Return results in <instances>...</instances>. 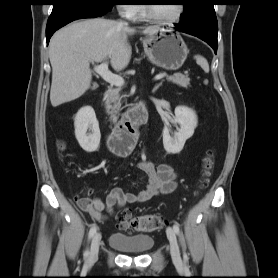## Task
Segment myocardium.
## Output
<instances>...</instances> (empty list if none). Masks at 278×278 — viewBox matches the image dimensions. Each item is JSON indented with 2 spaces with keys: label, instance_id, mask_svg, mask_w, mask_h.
Listing matches in <instances>:
<instances>
[{
  "label": "myocardium",
  "instance_id": "obj_1",
  "mask_svg": "<svg viewBox=\"0 0 278 278\" xmlns=\"http://www.w3.org/2000/svg\"><path fill=\"white\" fill-rule=\"evenodd\" d=\"M144 11H145L146 17L154 23H157V24H160V25H173V24L179 22L181 20V18L183 17V14H184V11H185V6L182 3L178 4V12L171 19H161V18L157 17L152 12L151 6L148 5V4L144 5Z\"/></svg>",
  "mask_w": 278,
  "mask_h": 278
}]
</instances>
